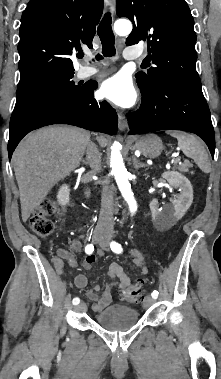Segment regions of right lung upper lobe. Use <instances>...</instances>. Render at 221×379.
I'll list each match as a JSON object with an SVG mask.
<instances>
[{
    "label": "right lung upper lobe",
    "instance_id": "1",
    "mask_svg": "<svg viewBox=\"0 0 221 379\" xmlns=\"http://www.w3.org/2000/svg\"><path fill=\"white\" fill-rule=\"evenodd\" d=\"M103 0H30L21 17L20 81L50 71L73 70L80 43L92 47Z\"/></svg>",
    "mask_w": 221,
    "mask_h": 379
}]
</instances>
